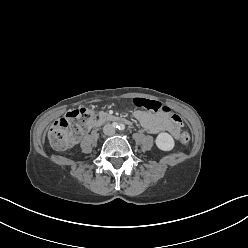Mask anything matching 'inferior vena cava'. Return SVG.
Segmentation results:
<instances>
[{"mask_svg":"<svg viewBox=\"0 0 248 248\" xmlns=\"http://www.w3.org/2000/svg\"><path fill=\"white\" fill-rule=\"evenodd\" d=\"M103 132L109 136L114 135L115 134V127L112 124H106L103 127Z\"/></svg>","mask_w":248,"mask_h":248,"instance_id":"inferior-vena-cava-1","label":"inferior vena cava"}]
</instances>
